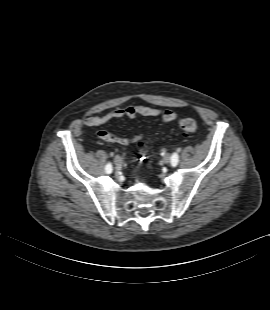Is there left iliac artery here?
<instances>
[{
    "mask_svg": "<svg viewBox=\"0 0 270 310\" xmlns=\"http://www.w3.org/2000/svg\"><path fill=\"white\" fill-rule=\"evenodd\" d=\"M179 162V157H178V154L177 153H174L171 157V164L172 166H176Z\"/></svg>",
    "mask_w": 270,
    "mask_h": 310,
    "instance_id": "1",
    "label": "left iliac artery"
}]
</instances>
